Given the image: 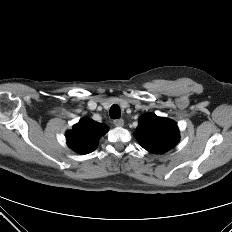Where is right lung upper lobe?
I'll return each instance as SVG.
<instances>
[{
	"label": "right lung upper lobe",
	"mask_w": 232,
	"mask_h": 232,
	"mask_svg": "<svg viewBox=\"0 0 232 232\" xmlns=\"http://www.w3.org/2000/svg\"><path fill=\"white\" fill-rule=\"evenodd\" d=\"M107 131L104 124L82 118L66 133L67 144L77 153L87 154L95 150L99 138Z\"/></svg>",
	"instance_id": "obj_1"
}]
</instances>
